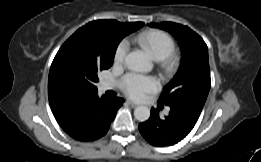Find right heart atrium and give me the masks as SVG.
I'll use <instances>...</instances> for the list:
<instances>
[{
	"label": "right heart atrium",
	"mask_w": 261,
	"mask_h": 162,
	"mask_svg": "<svg viewBox=\"0 0 261 162\" xmlns=\"http://www.w3.org/2000/svg\"><path fill=\"white\" fill-rule=\"evenodd\" d=\"M127 50H128V45L126 42H121L114 54V63L116 65H121L123 64L126 54H127Z\"/></svg>",
	"instance_id": "obj_1"
}]
</instances>
